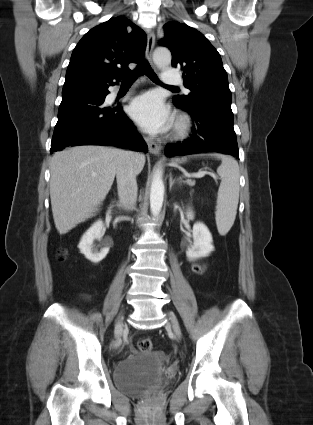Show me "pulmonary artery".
Returning a JSON list of instances; mask_svg holds the SVG:
<instances>
[{
    "mask_svg": "<svg viewBox=\"0 0 313 425\" xmlns=\"http://www.w3.org/2000/svg\"><path fill=\"white\" fill-rule=\"evenodd\" d=\"M182 79L180 74L170 68H166L162 74V83L165 85H179L181 84Z\"/></svg>",
    "mask_w": 313,
    "mask_h": 425,
    "instance_id": "pulmonary-artery-1",
    "label": "pulmonary artery"
}]
</instances>
